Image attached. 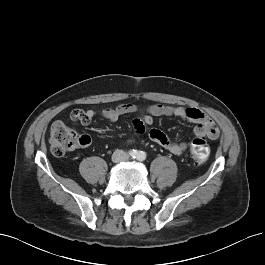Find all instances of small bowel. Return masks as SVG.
Instances as JSON below:
<instances>
[{
	"instance_id": "1",
	"label": "small bowel",
	"mask_w": 265,
	"mask_h": 265,
	"mask_svg": "<svg viewBox=\"0 0 265 265\" xmlns=\"http://www.w3.org/2000/svg\"><path fill=\"white\" fill-rule=\"evenodd\" d=\"M101 114L106 120L111 123L116 122L123 115L138 114L139 117L133 119L132 121L134 131L138 135L144 134L146 132V125L151 124L153 122V118L159 116H176L196 123L195 134L200 137L206 136L210 139H216L219 135V129L212 121V119L203 111L197 108L178 107L153 103L148 105L145 109H142L132 103H122L114 107L108 106L104 108ZM95 115L96 112L92 109H76L71 112V119L87 126L91 123ZM148 136L153 142L159 144L174 155H181L187 149L186 143L175 142L171 140L161 130L151 129L148 132ZM90 142L91 139L89 136H82V146H88ZM133 142L134 139H128L125 141V143L127 144H131Z\"/></svg>"
}]
</instances>
